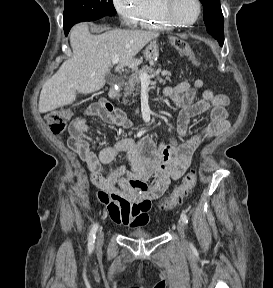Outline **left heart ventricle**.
Masks as SVG:
<instances>
[{
    "mask_svg": "<svg viewBox=\"0 0 273 288\" xmlns=\"http://www.w3.org/2000/svg\"><path fill=\"white\" fill-rule=\"evenodd\" d=\"M172 11L178 20L189 22L197 15V4L195 0H174Z\"/></svg>",
    "mask_w": 273,
    "mask_h": 288,
    "instance_id": "left-heart-ventricle-1",
    "label": "left heart ventricle"
}]
</instances>
